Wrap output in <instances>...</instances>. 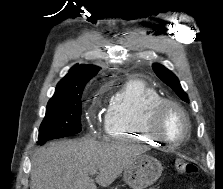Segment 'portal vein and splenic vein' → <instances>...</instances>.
Listing matches in <instances>:
<instances>
[{
	"label": "portal vein and splenic vein",
	"mask_w": 223,
	"mask_h": 189,
	"mask_svg": "<svg viewBox=\"0 0 223 189\" xmlns=\"http://www.w3.org/2000/svg\"><path fill=\"white\" fill-rule=\"evenodd\" d=\"M97 173V170H93V171H91V175H95Z\"/></svg>",
	"instance_id": "obj_1"
}]
</instances>
